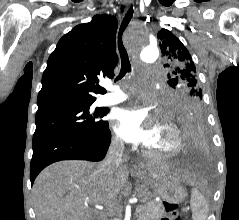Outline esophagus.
Instances as JSON below:
<instances>
[{
	"label": "esophagus",
	"instance_id": "1",
	"mask_svg": "<svg viewBox=\"0 0 239 220\" xmlns=\"http://www.w3.org/2000/svg\"><path fill=\"white\" fill-rule=\"evenodd\" d=\"M130 1L131 0H124V3L126 4V3L130 2ZM132 167H133L134 170H139V167L137 165H135V164Z\"/></svg>",
	"mask_w": 239,
	"mask_h": 220
}]
</instances>
